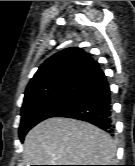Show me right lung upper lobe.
Here are the masks:
<instances>
[{
  "label": "right lung upper lobe",
  "instance_id": "cb5924a9",
  "mask_svg": "<svg viewBox=\"0 0 135 166\" xmlns=\"http://www.w3.org/2000/svg\"><path fill=\"white\" fill-rule=\"evenodd\" d=\"M98 68L99 64L81 48L64 49L39 67L26 88L24 103L68 86Z\"/></svg>",
  "mask_w": 135,
  "mask_h": 166
}]
</instances>
